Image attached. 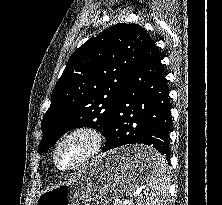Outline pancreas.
I'll use <instances>...</instances> for the list:
<instances>
[{
  "label": "pancreas",
  "instance_id": "obj_1",
  "mask_svg": "<svg viewBox=\"0 0 222 205\" xmlns=\"http://www.w3.org/2000/svg\"><path fill=\"white\" fill-rule=\"evenodd\" d=\"M113 205H131L130 203H126L125 201H115Z\"/></svg>",
  "mask_w": 222,
  "mask_h": 205
}]
</instances>
